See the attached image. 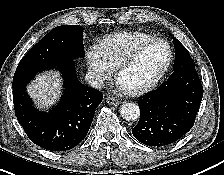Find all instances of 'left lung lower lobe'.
<instances>
[{
	"label": "left lung lower lobe",
	"instance_id": "left-lung-lower-lobe-1",
	"mask_svg": "<svg viewBox=\"0 0 224 175\" xmlns=\"http://www.w3.org/2000/svg\"><path fill=\"white\" fill-rule=\"evenodd\" d=\"M203 96V86L194 66L174 69L166 82L141 96V117L133 136L148 146L174 143L193 126Z\"/></svg>",
	"mask_w": 224,
	"mask_h": 175
}]
</instances>
